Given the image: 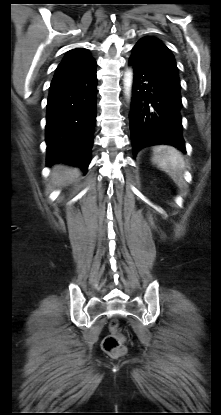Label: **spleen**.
<instances>
[{
  "label": "spleen",
  "instance_id": "1",
  "mask_svg": "<svg viewBox=\"0 0 221 415\" xmlns=\"http://www.w3.org/2000/svg\"><path fill=\"white\" fill-rule=\"evenodd\" d=\"M152 161L181 186L185 165L184 159L177 149L168 145L156 146L153 148Z\"/></svg>",
  "mask_w": 221,
  "mask_h": 415
}]
</instances>
